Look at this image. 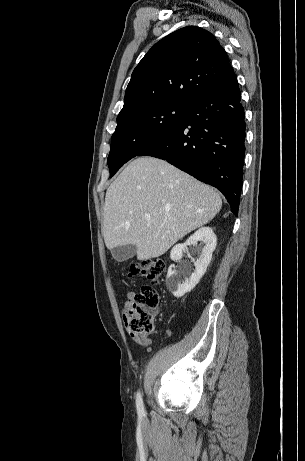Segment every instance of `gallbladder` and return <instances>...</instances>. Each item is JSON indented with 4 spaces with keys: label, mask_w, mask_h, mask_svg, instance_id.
Listing matches in <instances>:
<instances>
[{
    "label": "gallbladder",
    "mask_w": 305,
    "mask_h": 461,
    "mask_svg": "<svg viewBox=\"0 0 305 461\" xmlns=\"http://www.w3.org/2000/svg\"><path fill=\"white\" fill-rule=\"evenodd\" d=\"M136 252L137 248L132 244L117 246L111 250L112 257L118 262H123L132 258Z\"/></svg>",
    "instance_id": "obj_1"
}]
</instances>
